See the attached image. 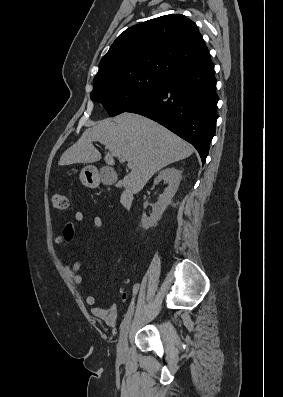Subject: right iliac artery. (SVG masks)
Returning <instances> with one entry per match:
<instances>
[{
	"instance_id": "1",
	"label": "right iliac artery",
	"mask_w": 283,
	"mask_h": 397,
	"mask_svg": "<svg viewBox=\"0 0 283 397\" xmlns=\"http://www.w3.org/2000/svg\"><path fill=\"white\" fill-rule=\"evenodd\" d=\"M138 292H139V289H138V285L136 284V285H134V287H133L132 294H136V293H138ZM135 302H136V299H135V298H132V299H131V304H130V306H129V308H128V311H127V313H126V315H125V317H124V319H123V321H122V323H121V326H120L121 331L123 330L125 324L127 323V321L129 320V318H130L131 315L133 314V311H134V303H135Z\"/></svg>"
}]
</instances>
